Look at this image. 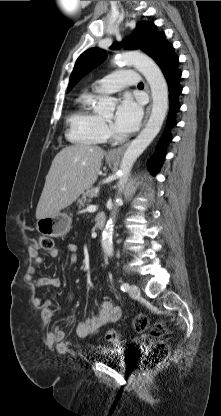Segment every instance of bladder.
<instances>
[{
	"label": "bladder",
	"instance_id": "31cf9c89",
	"mask_svg": "<svg viewBox=\"0 0 221 416\" xmlns=\"http://www.w3.org/2000/svg\"><path fill=\"white\" fill-rule=\"evenodd\" d=\"M111 354V350H109L108 352H107V355H110Z\"/></svg>",
	"mask_w": 221,
	"mask_h": 416
}]
</instances>
